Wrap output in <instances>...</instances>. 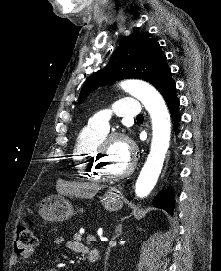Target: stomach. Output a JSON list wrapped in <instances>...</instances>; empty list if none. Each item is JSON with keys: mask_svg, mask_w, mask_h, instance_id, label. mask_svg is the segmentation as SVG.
I'll return each instance as SVG.
<instances>
[{"mask_svg": "<svg viewBox=\"0 0 221 271\" xmlns=\"http://www.w3.org/2000/svg\"><path fill=\"white\" fill-rule=\"evenodd\" d=\"M118 189H109L103 195L101 201L104 209L108 211H117L123 207V201L121 199V193H117ZM45 203L40 207V213L44 219L48 221H60V219H67L74 215L73 205H71L68 199L63 197H45ZM78 211H83L82 207Z\"/></svg>", "mask_w": 221, "mask_h": 271, "instance_id": "obj_1", "label": "stomach"}]
</instances>
